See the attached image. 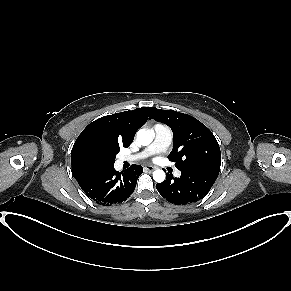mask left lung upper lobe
I'll use <instances>...</instances> for the list:
<instances>
[{"mask_svg": "<svg viewBox=\"0 0 291 291\" xmlns=\"http://www.w3.org/2000/svg\"><path fill=\"white\" fill-rule=\"evenodd\" d=\"M151 117L173 131V150L168 155L176 167L220 170L221 153L213 133L194 117L173 110L153 109Z\"/></svg>", "mask_w": 291, "mask_h": 291, "instance_id": "obj_1", "label": "left lung upper lobe"}]
</instances>
